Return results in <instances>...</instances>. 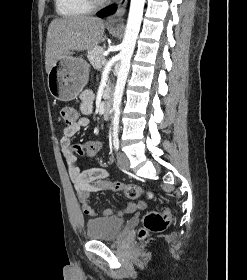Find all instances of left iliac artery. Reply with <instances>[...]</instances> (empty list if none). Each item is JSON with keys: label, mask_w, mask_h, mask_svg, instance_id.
<instances>
[{"label": "left iliac artery", "mask_w": 247, "mask_h": 280, "mask_svg": "<svg viewBox=\"0 0 247 280\" xmlns=\"http://www.w3.org/2000/svg\"><path fill=\"white\" fill-rule=\"evenodd\" d=\"M113 146H114V149H115L116 151L119 150V139H118L117 136H115V137L113 138Z\"/></svg>", "instance_id": "1"}]
</instances>
